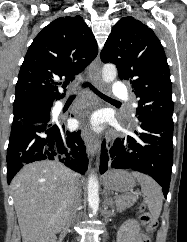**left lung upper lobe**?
Segmentation results:
<instances>
[{
  "instance_id": "obj_1",
  "label": "left lung upper lobe",
  "mask_w": 187,
  "mask_h": 242,
  "mask_svg": "<svg viewBox=\"0 0 187 242\" xmlns=\"http://www.w3.org/2000/svg\"><path fill=\"white\" fill-rule=\"evenodd\" d=\"M101 60L115 64L121 80H130L138 98L139 121L173 124L169 66L159 39L150 28L131 16L122 18L112 29Z\"/></svg>"
}]
</instances>
